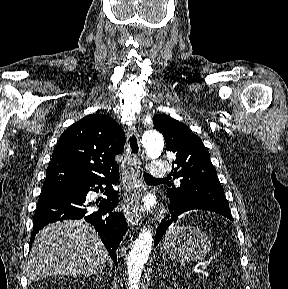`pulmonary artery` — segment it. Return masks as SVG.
<instances>
[{"mask_svg": "<svg viewBox=\"0 0 288 289\" xmlns=\"http://www.w3.org/2000/svg\"><path fill=\"white\" fill-rule=\"evenodd\" d=\"M148 172L154 178H165L168 175V168L164 161L153 160L148 166Z\"/></svg>", "mask_w": 288, "mask_h": 289, "instance_id": "pulmonary-artery-1", "label": "pulmonary artery"}]
</instances>
